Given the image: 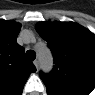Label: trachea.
<instances>
[{"label":"trachea","instance_id":"1","mask_svg":"<svg viewBox=\"0 0 95 95\" xmlns=\"http://www.w3.org/2000/svg\"><path fill=\"white\" fill-rule=\"evenodd\" d=\"M26 57H27L28 60L34 61L35 58H36V53L33 50H28L26 52Z\"/></svg>","mask_w":95,"mask_h":95}]
</instances>
